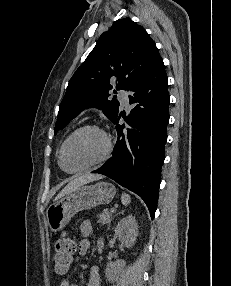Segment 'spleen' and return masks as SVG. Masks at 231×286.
<instances>
[{"instance_id":"spleen-1","label":"spleen","mask_w":231,"mask_h":286,"mask_svg":"<svg viewBox=\"0 0 231 286\" xmlns=\"http://www.w3.org/2000/svg\"><path fill=\"white\" fill-rule=\"evenodd\" d=\"M121 202L123 205H128L131 202V198L128 194H122L121 195Z\"/></svg>"}]
</instances>
